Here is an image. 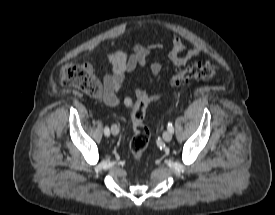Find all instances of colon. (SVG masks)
<instances>
[{"instance_id":"colon-1","label":"colon","mask_w":275,"mask_h":215,"mask_svg":"<svg viewBox=\"0 0 275 215\" xmlns=\"http://www.w3.org/2000/svg\"><path fill=\"white\" fill-rule=\"evenodd\" d=\"M220 75V69L209 62L197 63L180 70L170 79L172 86L178 87L192 80H209ZM62 82L66 86L80 89L90 97H98L102 86L88 63L67 64L62 69ZM158 95L148 96L137 102L132 113L134 135L130 143V153L134 162H139L150 139V132L144 124L146 110Z\"/></svg>"}]
</instances>
